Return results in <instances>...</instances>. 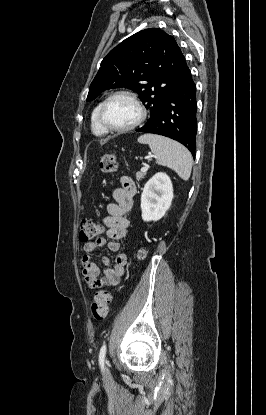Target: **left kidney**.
<instances>
[{"label": "left kidney", "instance_id": "1", "mask_svg": "<svg viewBox=\"0 0 266 415\" xmlns=\"http://www.w3.org/2000/svg\"><path fill=\"white\" fill-rule=\"evenodd\" d=\"M173 186L170 177L156 173L145 184L141 194L142 219L146 222L160 220L171 206Z\"/></svg>", "mask_w": 266, "mask_h": 415}]
</instances>
